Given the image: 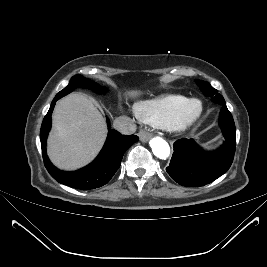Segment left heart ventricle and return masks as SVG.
<instances>
[{"instance_id": "obj_1", "label": "left heart ventricle", "mask_w": 267, "mask_h": 267, "mask_svg": "<svg viewBox=\"0 0 267 267\" xmlns=\"http://www.w3.org/2000/svg\"><path fill=\"white\" fill-rule=\"evenodd\" d=\"M198 108H199L198 103H193V104H191V105L189 106L187 113H188L189 115H192V114H194V113L197 112Z\"/></svg>"}]
</instances>
